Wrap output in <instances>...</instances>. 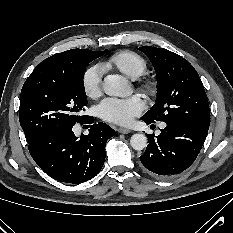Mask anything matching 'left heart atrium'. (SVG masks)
<instances>
[{"label":"left heart atrium","instance_id":"obj_1","mask_svg":"<svg viewBox=\"0 0 233 233\" xmlns=\"http://www.w3.org/2000/svg\"><path fill=\"white\" fill-rule=\"evenodd\" d=\"M144 102L138 96L129 98H105L97 107L98 115L105 121L128 125L144 110Z\"/></svg>","mask_w":233,"mask_h":233}]
</instances>
